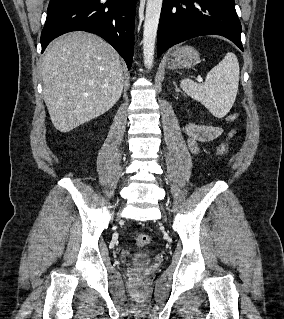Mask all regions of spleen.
I'll use <instances>...</instances> for the list:
<instances>
[{"label":"spleen","instance_id":"spleen-1","mask_svg":"<svg viewBox=\"0 0 284 319\" xmlns=\"http://www.w3.org/2000/svg\"><path fill=\"white\" fill-rule=\"evenodd\" d=\"M239 63L236 55L228 52L206 76L204 83L182 79L180 86L194 100L203 104L217 117H224L236 99L239 85Z\"/></svg>","mask_w":284,"mask_h":319}]
</instances>
